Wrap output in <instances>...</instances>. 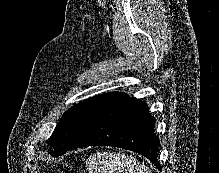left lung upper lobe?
<instances>
[{
	"label": "left lung upper lobe",
	"mask_w": 219,
	"mask_h": 173,
	"mask_svg": "<svg viewBox=\"0 0 219 173\" xmlns=\"http://www.w3.org/2000/svg\"><path fill=\"white\" fill-rule=\"evenodd\" d=\"M118 92L97 95L72 106L62 116L47 143L53 147L51 155L57 157L64 153L82 133L93 116Z\"/></svg>",
	"instance_id": "obj_1"
}]
</instances>
